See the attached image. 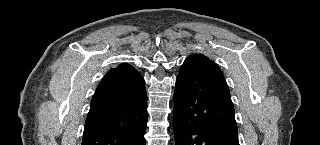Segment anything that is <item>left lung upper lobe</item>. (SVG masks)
<instances>
[{
  "label": "left lung upper lobe",
  "mask_w": 320,
  "mask_h": 145,
  "mask_svg": "<svg viewBox=\"0 0 320 145\" xmlns=\"http://www.w3.org/2000/svg\"><path fill=\"white\" fill-rule=\"evenodd\" d=\"M187 59L194 60L198 63L208 64V65L215 67V68H219L216 63H214L208 57H206L202 54H193L190 57H188Z\"/></svg>",
  "instance_id": "5c2ea615"
}]
</instances>
